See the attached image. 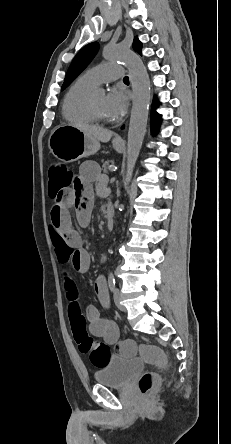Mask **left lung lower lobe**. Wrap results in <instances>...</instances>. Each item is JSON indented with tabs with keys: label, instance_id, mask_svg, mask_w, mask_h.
<instances>
[{
	"label": "left lung lower lobe",
	"instance_id": "0a47b994",
	"mask_svg": "<svg viewBox=\"0 0 231 444\" xmlns=\"http://www.w3.org/2000/svg\"><path fill=\"white\" fill-rule=\"evenodd\" d=\"M159 105V101L154 98L153 105H152V114H151V127L153 134H156L158 132L160 123H161V116L156 112V108ZM123 128V127H122Z\"/></svg>",
	"mask_w": 231,
	"mask_h": 444
}]
</instances>
